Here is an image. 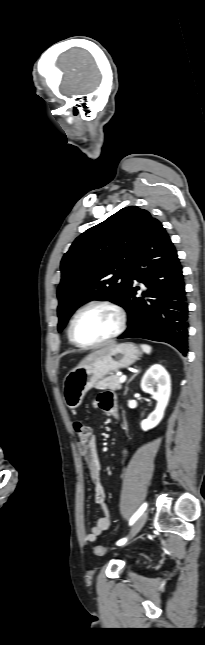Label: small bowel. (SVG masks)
Here are the masks:
<instances>
[{
	"instance_id": "c3829d8e",
	"label": "small bowel",
	"mask_w": 205,
	"mask_h": 645,
	"mask_svg": "<svg viewBox=\"0 0 205 645\" xmlns=\"http://www.w3.org/2000/svg\"><path fill=\"white\" fill-rule=\"evenodd\" d=\"M94 406L105 413L113 414L116 410V397L111 392L100 394L94 401ZM77 451L84 459L89 471L91 481L94 486V503L104 512L99 517L94 526L85 534L88 542H94L104 531L111 526V514L106 505V492L101 482V464L97 451V442L95 437H91L87 443L77 444ZM127 458V451L123 452L122 462Z\"/></svg>"
}]
</instances>
